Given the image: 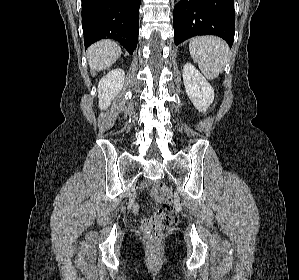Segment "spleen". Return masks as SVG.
<instances>
[{"label": "spleen", "mask_w": 299, "mask_h": 280, "mask_svg": "<svg viewBox=\"0 0 299 280\" xmlns=\"http://www.w3.org/2000/svg\"><path fill=\"white\" fill-rule=\"evenodd\" d=\"M192 59L208 79H215L228 61L229 47L220 38L213 36L197 37L190 41Z\"/></svg>", "instance_id": "obj_1"}]
</instances>
